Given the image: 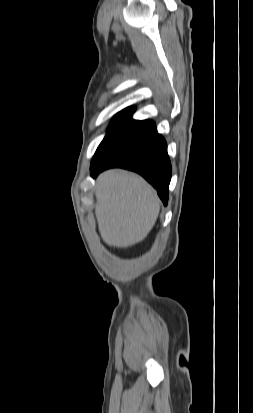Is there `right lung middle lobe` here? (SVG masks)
<instances>
[{
	"label": "right lung middle lobe",
	"instance_id": "1",
	"mask_svg": "<svg viewBox=\"0 0 253 413\" xmlns=\"http://www.w3.org/2000/svg\"><path fill=\"white\" fill-rule=\"evenodd\" d=\"M132 113L119 112L115 115L108 132L97 148L90 167H94L115 152L147 136L156 127L150 120H133Z\"/></svg>",
	"mask_w": 253,
	"mask_h": 413
}]
</instances>
